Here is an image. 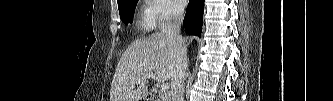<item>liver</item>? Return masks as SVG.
Instances as JSON below:
<instances>
[{
  "label": "liver",
  "mask_w": 333,
  "mask_h": 101,
  "mask_svg": "<svg viewBox=\"0 0 333 101\" xmlns=\"http://www.w3.org/2000/svg\"><path fill=\"white\" fill-rule=\"evenodd\" d=\"M174 66V57L165 35L157 32L136 40L118 62L111 83L110 101H141L148 94L147 79H141L155 73L158 82H165L172 77ZM135 85H138L136 90Z\"/></svg>",
  "instance_id": "obj_1"
}]
</instances>
